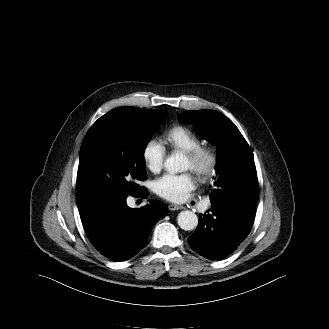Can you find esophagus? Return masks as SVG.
Wrapping results in <instances>:
<instances>
[{
    "label": "esophagus",
    "mask_w": 329,
    "mask_h": 329,
    "mask_svg": "<svg viewBox=\"0 0 329 329\" xmlns=\"http://www.w3.org/2000/svg\"><path fill=\"white\" fill-rule=\"evenodd\" d=\"M182 208H183V206L175 205V204H170V205L168 206V209H169L170 211H175V210H179V209H182Z\"/></svg>",
    "instance_id": "34e87169"
}]
</instances>
